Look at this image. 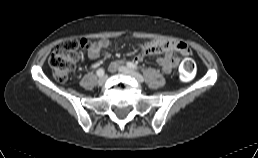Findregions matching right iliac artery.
<instances>
[{
	"mask_svg": "<svg viewBox=\"0 0 258 158\" xmlns=\"http://www.w3.org/2000/svg\"><path fill=\"white\" fill-rule=\"evenodd\" d=\"M97 75H98L99 77H102V76L104 75V70H103L102 68H99V69L97 70Z\"/></svg>",
	"mask_w": 258,
	"mask_h": 158,
	"instance_id": "obj_1",
	"label": "right iliac artery"
}]
</instances>
